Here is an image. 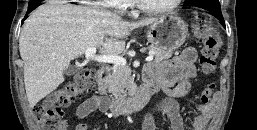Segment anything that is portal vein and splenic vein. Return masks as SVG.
Masks as SVG:
<instances>
[{
    "label": "portal vein and splenic vein",
    "instance_id": "obj_1",
    "mask_svg": "<svg viewBox=\"0 0 257 130\" xmlns=\"http://www.w3.org/2000/svg\"><path fill=\"white\" fill-rule=\"evenodd\" d=\"M85 57L87 60H93L101 63H112L115 65H126V59L117 55H96V48H89L85 51ZM154 58L153 52L146 57L147 62H151Z\"/></svg>",
    "mask_w": 257,
    "mask_h": 130
}]
</instances>
